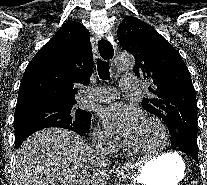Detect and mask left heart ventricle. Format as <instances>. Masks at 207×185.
I'll return each mask as SVG.
<instances>
[{
	"label": "left heart ventricle",
	"instance_id": "1",
	"mask_svg": "<svg viewBox=\"0 0 207 185\" xmlns=\"http://www.w3.org/2000/svg\"><path fill=\"white\" fill-rule=\"evenodd\" d=\"M126 138L130 147L138 151H155L165 144L160 129L154 123L145 120Z\"/></svg>",
	"mask_w": 207,
	"mask_h": 185
}]
</instances>
